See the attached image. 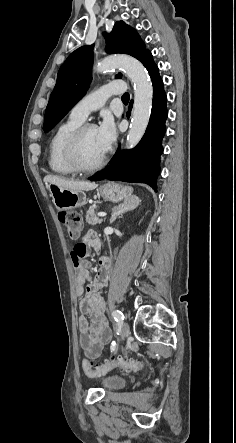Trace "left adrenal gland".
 <instances>
[{"label": "left adrenal gland", "instance_id": "1", "mask_svg": "<svg viewBox=\"0 0 236 443\" xmlns=\"http://www.w3.org/2000/svg\"><path fill=\"white\" fill-rule=\"evenodd\" d=\"M129 210H131V208L129 205H127L126 202L120 204L118 207H115L112 210L110 224H112L117 219V217L122 216L124 213H126Z\"/></svg>", "mask_w": 236, "mask_h": 443}]
</instances>
